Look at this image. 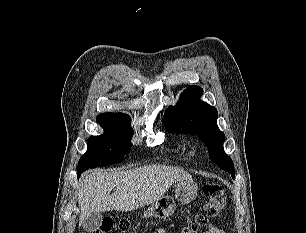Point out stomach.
I'll return each mask as SVG.
<instances>
[{
  "label": "stomach",
  "mask_w": 306,
  "mask_h": 233,
  "mask_svg": "<svg viewBox=\"0 0 306 233\" xmlns=\"http://www.w3.org/2000/svg\"><path fill=\"white\" fill-rule=\"evenodd\" d=\"M197 196V186L190 180L177 181L175 186V198L182 204H187L193 201ZM176 209L174 199L165 195L153 202L151 206L144 211L145 217H154L159 219H165L171 216Z\"/></svg>",
  "instance_id": "0dacf381"
}]
</instances>
